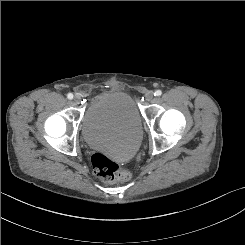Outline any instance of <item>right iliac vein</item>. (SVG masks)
I'll return each instance as SVG.
<instances>
[{"instance_id": "63e3f726", "label": "right iliac vein", "mask_w": 245, "mask_h": 245, "mask_svg": "<svg viewBox=\"0 0 245 245\" xmlns=\"http://www.w3.org/2000/svg\"><path fill=\"white\" fill-rule=\"evenodd\" d=\"M79 101H80V97H79V96H75V97L73 98V102H74L75 104H78Z\"/></svg>"}]
</instances>
